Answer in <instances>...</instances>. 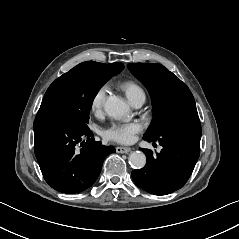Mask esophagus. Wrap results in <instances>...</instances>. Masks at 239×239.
Here are the masks:
<instances>
[{
	"label": "esophagus",
	"instance_id": "1",
	"mask_svg": "<svg viewBox=\"0 0 239 239\" xmlns=\"http://www.w3.org/2000/svg\"><path fill=\"white\" fill-rule=\"evenodd\" d=\"M131 151L130 147H116V152L121 154H127Z\"/></svg>",
	"mask_w": 239,
	"mask_h": 239
}]
</instances>
